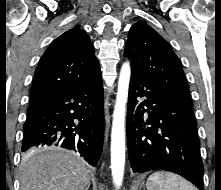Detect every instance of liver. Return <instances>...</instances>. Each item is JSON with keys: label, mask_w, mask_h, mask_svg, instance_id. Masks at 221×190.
Masks as SVG:
<instances>
[{"label": "liver", "mask_w": 221, "mask_h": 190, "mask_svg": "<svg viewBox=\"0 0 221 190\" xmlns=\"http://www.w3.org/2000/svg\"><path fill=\"white\" fill-rule=\"evenodd\" d=\"M90 184L84 160L65 150L23 155L20 190H85Z\"/></svg>", "instance_id": "obj_1"}]
</instances>
